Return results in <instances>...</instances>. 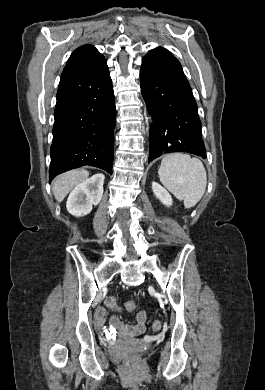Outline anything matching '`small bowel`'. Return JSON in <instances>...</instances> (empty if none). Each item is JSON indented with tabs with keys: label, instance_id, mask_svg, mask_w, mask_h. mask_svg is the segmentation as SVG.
<instances>
[{
	"label": "small bowel",
	"instance_id": "obj_1",
	"mask_svg": "<svg viewBox=\"0 0 265 390\" xmlns=\"http://www.w3.org/2000/svg\"><path fill=\"white\" fill-rule=\"evenodd\" d=\"M107 313L103 308H99L97 311V322L103 327L106 321ZM146 312L141 310L136 315V324L134 326H125L123 325L117 317H112L110 319L111 326L116 329H122L130 335H139L142 334L146 329Z\"/></svg>",
	"mask_w": 265,
	"mask_h": 390
}]
</instances>
